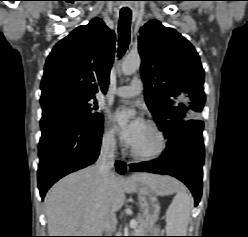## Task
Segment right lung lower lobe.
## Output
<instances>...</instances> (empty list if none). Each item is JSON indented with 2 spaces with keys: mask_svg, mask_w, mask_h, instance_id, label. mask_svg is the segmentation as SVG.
<instances>
[{
  "mask_svg": "<svg viewBox=\"0 0 248 237\" xmlns=\"http://www.w3.org/2000/svg\"><path fill=\"white\" fill-rule=\"evenodd\" d=\"M40 123L38 187L43 200L60 178L96 161L103 120L84 123L70 118L42 117ZM115 166L118 173H125V163L116 161Z\"/></svg>",
  "mask_w": 248,
  "mask_h": 237,
  "instance_id": "obj_1",
  "label": "right lung lower lobe"
}]
</instances>
